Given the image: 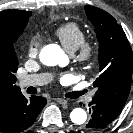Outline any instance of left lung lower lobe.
<instances>
[{
    "label": "left lung lower lobe",
    "mask_w": 133,
    "mask_h": 133,
    "mask_svg": "<svg viewBox=\"0 0 133 133\" xmlns=\"http://www.w3.org/2000/svg\"><path fill=\"white\" fill-rule=\"evenodd\" d=\"M89 106L91 119L82 127L85 133H98L106 129L117 118L123 108L109 102L105 98L96 96L93 97Z\"/></svg>",
    "instance_id": "0a47b994"
}]
</instances>
